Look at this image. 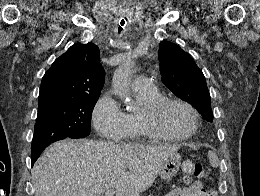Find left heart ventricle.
I'll use <instances>...</instances> for the list:
<instances>
[{
  "label": "left heart ventricle",
  "mask_w": 260,
  "mask_h": 196,
  "mask_svg": "<svg viewBox=\"0 0 260 196\" xmlns=\"http://www.w3.org/2000/svg\"><path fill=\"white\" fill-rule=\"evenodd\" d=\"M192 113L179 104L169 105L158 117L157 126L168 135L182 136L194 127Z\"/></svg>",
  "instance_id": "obj_1"
}]
</instances>
